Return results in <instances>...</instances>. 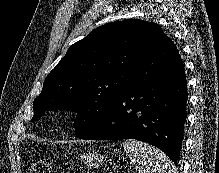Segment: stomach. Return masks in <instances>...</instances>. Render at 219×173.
I'll return each mask as SVG.
<instances>
[{"label":"stomach","instance_id":"stomach-1","mask_svg":"<svg viewBox=\"0 0 219 173\" xmlns=\"http://www.w3.org/2000/svg\"><path fill=\"white\" fill-rule=\"evenodd\" d=\"M78 159L87 167H99L104 163V156L96 152H88L78 155Z\"/></svg>","mask_w":219,"mask_h":173}]
</instances>
